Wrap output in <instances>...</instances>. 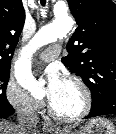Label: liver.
Returning a JSON list of instances; mask_svg holds the SVG:
<instances>
[{"label": "liver", "mask_w": 116, "mask_h": 134, "mask_svg": "<svg viewBox=\"0 0 116 134\" xmlns=\"http://www.w3.org/2000/svg\"><path fill=\"white\" fill-rule=\"evenodd\" d=\"M15 125L5 121H0V134H19Z\"/></svg>", "instance_id": "obj_1"}]
</instances>
